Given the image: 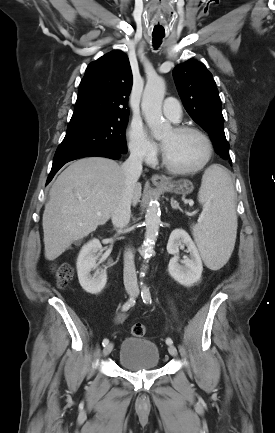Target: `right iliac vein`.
I'll use <instances>...</instances> for the list:
<instances>
[{"mask_svg": "<svg viewBox=\"0 0 275 433\" xmlns=\"http://www.w3.org/2000/svg\"><path fill=\"white\" fill-rule=\"evenodd\" d=\"M112 350H113V343L107 344L103 349V355L108 356Z\"/></svg>", "mask_w": 275, "mask_h": 433, "instance_id": "1", "label": "right iliac vein"}]
</instances>
